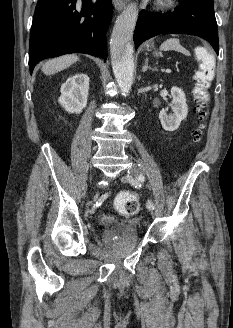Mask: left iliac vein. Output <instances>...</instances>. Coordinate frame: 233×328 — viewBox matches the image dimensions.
<instances>
[{
	"label": "left iliac vein",
	"instance_id": "4c4485c4",
	"mask_svg": "<svg viewBox=\"0 0 233 328\" xmlns=\"http://www.w3.org/2000/svg\"><path fill=\"white\" fill-rule=\"evenodd\" d=\"M139 174H140V169L138 168V166L133 165L130 168V170L128 171L127 175L122 177V181L133 185L137 176H139ZM148 209L150 210L152 216H154L155 213H154L153 209H151V208H148Z\"/></svg>",
	"mask_w": 233,
	"mask_h": 328
}]
</instances>
